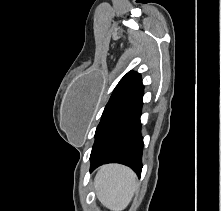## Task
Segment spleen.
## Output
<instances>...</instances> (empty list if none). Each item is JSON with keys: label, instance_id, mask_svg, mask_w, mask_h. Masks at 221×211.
<instances>
[{"label": "spleen", "instance_id": "spleen-1", "mask_svg": "<svg viewBox=\"0 0 221 211\" xmlns=\"http://www.w3.org/2000/svg\"><path fill=\"white\" fill-rule=\"evenodd\" d=\"M100 202L113 211H122L131 202L137 188L136 175L121 165L103 166L94 182Z\"/></svg>", "mask_w": 221, "mask_h": 211}]
</instances>
